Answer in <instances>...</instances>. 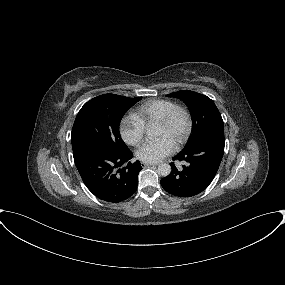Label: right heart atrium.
<instances>
[{"label":"right heart atrium","instance_id":"1","mask_svg":"<svg viewBox=\"0 0 285 285\" xmlns=\"http://www.w3.org/2000/svg\"><path fill=\"white\" fill-rule=\"evenodd\" d=\"M119 133L127 144L138 146L144 139L145 125L135 114H127L119 123Z\"/></svg>","mask_w":285,"mask_h":285}]
</instances>
